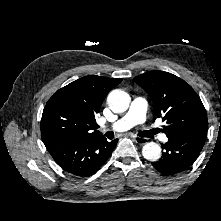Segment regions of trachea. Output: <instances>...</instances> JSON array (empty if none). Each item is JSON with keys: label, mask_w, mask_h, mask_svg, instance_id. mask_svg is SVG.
<instances>
[{"label": "trachea", "mask_w": 221, "mask_h": 221, "mask_svg": "<svg viewBox=\"0 0 221 221\" xmlns=\"http://www.w3.org/2000/svg\"><path fill=\"white\" fill-rule=\"evenodd\" d=\"M158 132V130H150V131H146V132H141L139 133L140 136H146V137H151L152 135L156 134ZM106 136L108 138H113L114 137V133L113 132H107Z\"/></svg>", "instance_id": "1"}]
</instances>
